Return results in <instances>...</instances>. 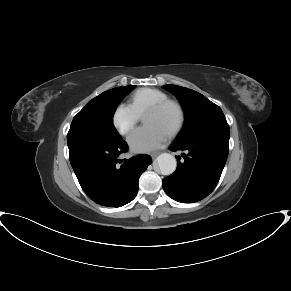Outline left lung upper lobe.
<instances>
[{"mask_svg": "<svg viewBox=\"0 0 291 291\" xmlns=\"http://www.w3.org/2000/svg\"><path fill=\"white\" fill-rule=\"evenodd\" d=\"M181 102L185 112V126L175 142H186L213 132L229 131L219 106L202 94L177 85H165Z\"/></svg>", "mask_w": 291, "mask_h": 291, "instance_id": "1", "label": "left lung upper lobe"}]
</instances>
